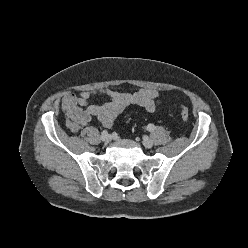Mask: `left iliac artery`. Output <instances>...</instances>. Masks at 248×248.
Returning <instances> with one entry per match:
<instances>
[{
  "instance_id": "1",
  "label": "left iliac artery",
  "mask_w": 248,
  "mask_h": 248,
  "mask_svg": "<svg viewBox=\"0 0 248 248\" xmlns=\"http://www.w3.org/2000/svg\"><path fill=\"white\" fill-rule=\"evenodd\" d=\"M147 130L150 131V132H152V131L155 130V126H154L153 124H149V125L147 126Z\"/></svg>"
}]
</instances>
